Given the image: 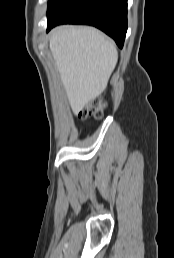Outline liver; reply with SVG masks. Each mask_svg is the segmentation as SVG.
Masks as SVG:
<instances>
[{"label": "liver", "instance_id": "1", "mask_svg": "<svg viewBox=\"0 0 174 258\" xmlns=\"http://www.w3.org/2000/svg\"><path fill=\"white\" fill-rule=\"evenodd\" d=\"M49 47L74 113L98 97L107 87L117 64L114 43L88 26L54 29Z\"/></svg>", "mask_w": 174, "mask_h": 258}]
</instances>
